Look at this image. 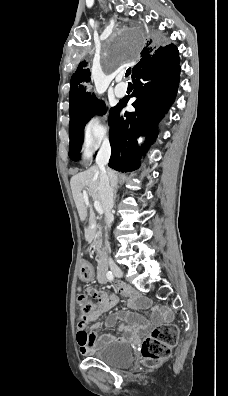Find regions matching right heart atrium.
I'll use <instances>...</instances> for the list:
<instances>
[{
    "instance_id": "right-heart-atrium-1",
    "label": "right heart atrium",
    "mask_w": 228,
    "mask_h": 396,
    "mask_svg": "<svg viewBox=\"0 0 228 396\" xmlns=\"http://www.w3.org/2000/svg\"><path fill=\"white\" fill-rule=\"evenodd\" d=\"M109 140L108 128L98 114L90 115L84 122L81 132V148L85 154L91 153L99 146L106 145Z\"/></svg>"
}]
</instances>
